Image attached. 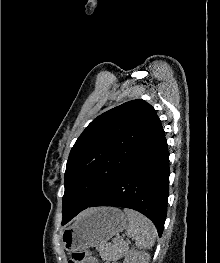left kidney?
<instances>
[{"instance_id": "left-kidney-1", "label": "left kidney", "mask_w": 220, "mask_h": 263, "mask_svg": "<svg viewBox=\"0 0 220 263\" xmlns=\"http://www.w3.org/2000/svg\"><path fill=\"white\" fill-rule=\"evenodd\" d=\"M150 256L147 253L129 251L123 263H149Z\"/></svg>"}]
</instances>
